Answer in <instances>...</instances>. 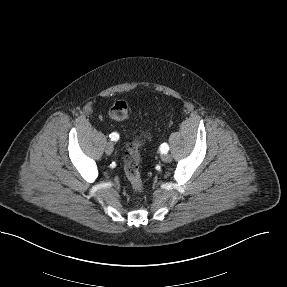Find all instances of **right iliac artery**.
<instances>
[{"label": "right iliac artery", "mask_w": 287, "mask_h": 287, "mask_svg": "<svg viewBox=\"0 0 287 287\" xmlns=\"http://www.w3.org/2000/svg\"><path fill=\"white\" fill-rule=\"evenodd\" d=\"M110 138L112 141H117L119 139V134L116 132H113L110 134Z\"/></svg>", "instance_id": "82829eb1"}]
</instances>
